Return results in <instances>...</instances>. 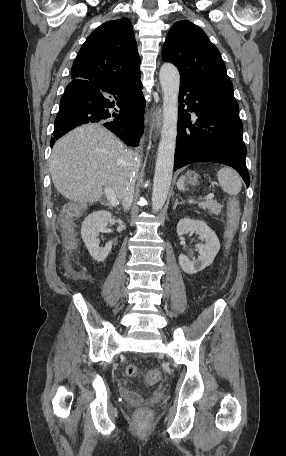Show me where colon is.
Returning <instances> with one entry per match:
<instances>
[{
	"mask_svg": "<svg viewBox=\"0 0 286 456\" xmlns=\"http://www.w3.org/2000/svg\"><path fill=\"white\" fill-rule=\"evenodd\" d=\"M238 215V203L235 199L229 201V223L227 228V237L231 239L236 228V219ZM126 374L129 377H136L138 375V369L134 364H128L126 366ZM161 380V372L158 369L150 370L145 376L144 381L148 385H153ZM145 411H141L144 414Z\"/></svg>",
	"mask_w": 286,
	"mask_h": 456,
	"instance_id": "colon-1",
	"label": "colon"
}]
</instances>
